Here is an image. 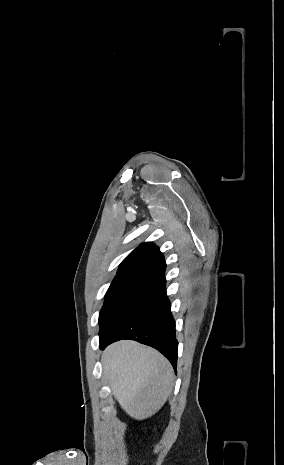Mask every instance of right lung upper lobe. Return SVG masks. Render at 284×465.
<instances>
[{
  "label": "right lung upper lobe",
  "instance_id": "cb5924a9",
  "mask_svg": "<svg viewBox=\"0 0 284 465\" xmlns=\"http://www.w3.org/2000/svg\"><path fill=\"white\" fill-rule=\"evenodd\" d=\"M166 263L152 242L139 245L120 264L115 278H139L157 282L164 277Z\"/></svg>",
  "mask_w": 284,
  "mask_h": 465
}]
</instances>
